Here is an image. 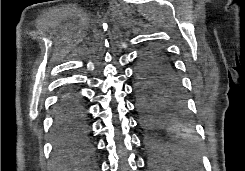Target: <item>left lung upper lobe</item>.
<instances>
[{"instance_id": "5c2ea615", "label": "left lung upper lobe", "mask_w": 245, "mask_h": 171, "mask_svg": "<svg viewBox=\"0 0 245 171\" xmlns=\"http://www.w3.org/2000/svg\"><path fill=\"white\" fill-rule=\"evenodd\" d=\"M154 49H155L154 46H149V47L145 48V49L141 52L138 61H152V53H153V50H154Z\"/></svg>"}]
</instances>
